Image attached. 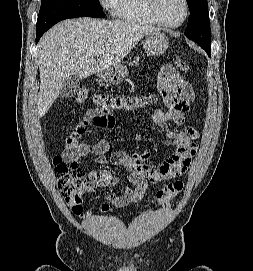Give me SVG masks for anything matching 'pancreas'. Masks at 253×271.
I'll return each instance as SVG.
<instances>
[{"label":"pancreas","mask_w":253,"mask_h":271,"mask_svg":"<svg viewBox=\"0 0 253 271\" xmlns=\"http://www.w3.org/2000/svg\"><path fill=\"white\" fill-rule=\"evenodd\" d=\"M138 62H139V59H136V60H134L133 62H131L130 64H131V65H137Z\"/></svg>","instance_id":"pancreas-1"}]
</instances>
